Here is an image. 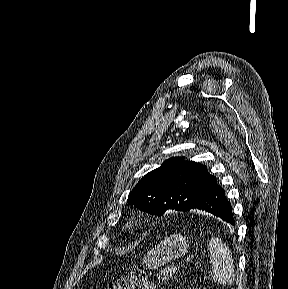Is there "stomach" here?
<instances>
[{
    "instance_id": "obj_1",
    "label": "stomach",
    "mask_w": 288,
    "mask_h": 289,
    "mask_svg": "<svg viewBox=\"0 0 288 289\" xmlns=\"http://www.w3.org/2000/svg\"><path fill=\"white\" fill-rule=\"evenodd\" d=\"M189 247L188 239L181 234H173L162 240L143 258V265L157 269L168 262L183 256Z\"/></svg>"
}]
</instances>
